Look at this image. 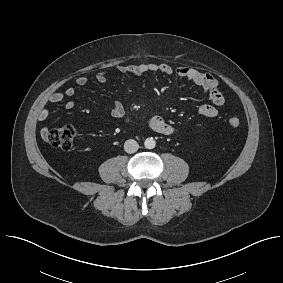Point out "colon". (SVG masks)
Wrapping results in <instances>:
<instances>
[{
	"label": "colon",
	"instance_id": "obj_1",
	"mask_svg": "<svg viewBox=\"0 0 283 283\" xmlns=\"http://www.w3.org/2000/svg\"><path fill=\"white\" fill-rule=\"evenodd\" d=\"M228 125L232 128H237L241 125V120L238 117H230L228 119ZM76 136L77 128L72 124H66L52 129L46 135L51 145L66 151L73 148Z\"/></svg>",
	"mask_w": 283,
	"mask_h": 283
}]
</instances>
